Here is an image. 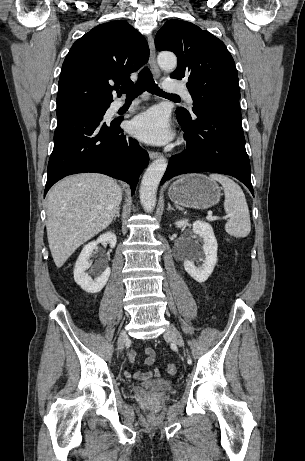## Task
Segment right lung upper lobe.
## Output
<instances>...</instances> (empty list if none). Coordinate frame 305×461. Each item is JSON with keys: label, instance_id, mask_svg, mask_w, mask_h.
Listing matches in <instances>:
<instances>
[{"label": "right lung upper lobe", "instance_id": "obj_1", "mask_svg": "<svg viewBox=\"0 0 305 461\" xmlns=\"http://www.w3.org/2000/svg\"><path fill=\"white\" fill-rule=\"evenodd\" d=\"M145 38L128 22L100 24L78 39L67 54L58 84V109L112 102V87L130 85L129 75L148 61Z\"/></svg>", "mask_w": 305, "mask_h": 461}]
</instances>
